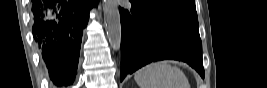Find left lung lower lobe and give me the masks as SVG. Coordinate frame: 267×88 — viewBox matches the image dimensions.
I'll use <instances>...</instances> for the list:
<instances>
[{"label": "left lung lower lobe", "instance_id": "left-lung-lower-lobe-1", "mask_svg": "<svg viewBox=\"0 0 267 88\" xmlns=\"http://www.w3.org/2000/svg\"><path fill=\"white\" fill-rule=\"evenodd\" d=\"M119 11L121 81L140 67L163 59L184 61L204 78L198 23L145 15L134 5L130 12L122 8Z\"/></svg>", "mask_w": 267, "mask_h": 88}]
</instances>
